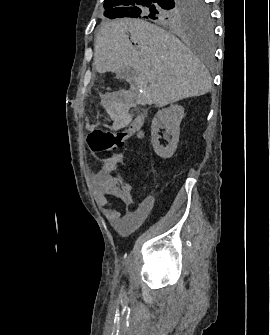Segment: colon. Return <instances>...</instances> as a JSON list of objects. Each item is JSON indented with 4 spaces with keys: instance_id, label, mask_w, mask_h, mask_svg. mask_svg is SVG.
<instances>
[{
    "instance_id": "obj_1",
    "label": "colon",
    "mask_w": 270,
    "mask_h": 335,
    "mask_svg": "<svg viewBox=\"0 0 270 335\" xmlns=\"http://www.w3.org/2000/svg\"><path fill=\"white\" fill-rule=\"evenodd\" d=\"M134 135L132 128L111 132L104 129H93L88 135V146L93 154L100 155L113 152L125 145Z\"/></svg>"
}]
</instances>
